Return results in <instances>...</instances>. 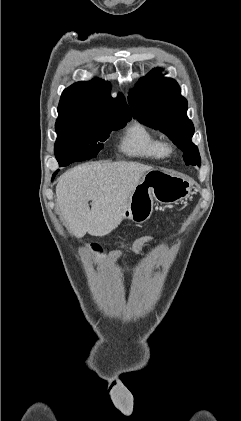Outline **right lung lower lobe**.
Returning <instances> with one entry per match:
<instances>
[{
	"instance_id": "1",
	"label": "right lung lower lobe",
	"mask_w": 241,
	"mask_h": 421,
	"mask_svg": "<svg viewBox=\"0 0 241 421\" xmlns=\"http://www.w3.org/2000/svg\"><path fill=\"white\" fill-rule=\"evenodd\" d=\"M58 171H56L55 173H54V175H53V177H52V180L54 179V177H55V175H56V173H57Z\"/></svg>"
}]
</instances>
